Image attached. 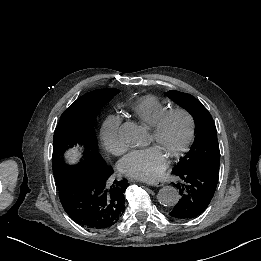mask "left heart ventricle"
<instances>
[{
  "label": "left heart ventricle",
  "instance_id": "b2bd125f",
  "mask_svg": "<svg viewBox=\"0 0 261 261\" xmlns=\"http://www.w3.org/2000/svg\"><path fill=\"white\" fill-rule=\"evenodd\" d=\"M187 131V121L182 116L176 115L168 120L163 130L156 136L147 127V139L144 144L157 145L168 158L169 154L184 141Z\"/></svg>",
  "mask_w": 261,
  "mask_h": 261
}]
</instances>
